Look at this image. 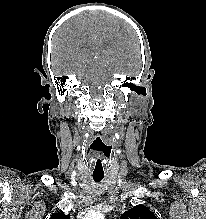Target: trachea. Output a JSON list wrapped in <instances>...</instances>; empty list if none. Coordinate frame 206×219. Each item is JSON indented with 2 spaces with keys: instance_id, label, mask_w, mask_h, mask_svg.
I'll return each instance as SVG.
<instances>
[{
  "instance_id": "obj_1",
  "label": "trachea",
  "mask_w": 206,
  "mask_h": 219,
  "mask_svg": "<svg viewBox=\"0 0 206 219\" xmlns=\"http://www.w3.org/2000/svg\"><path fill=\"white\" fill-rule=\"evenodd\" d=\"M103 178H104V174H103V175H96V174H93V180H94L95 182H100Z\"/></svg>"
}]
</instances>
